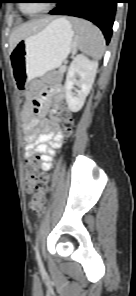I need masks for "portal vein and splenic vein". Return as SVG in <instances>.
<instances>
[{
    "mask_svg": "<svg viewBox=\"0 0 136 296\" xmlns=\"http://www.w3.org/2000/svg\"><path fill=\"white\" fill-rule=\"evenodd\" d=\"M65 68H66V66L64 65V66L61 67V70H64Z\"/></svg>",
    "mask_w": 136,
    "mask_h": 296,
    "instance_id": "portal-vein-and-splenic-vein-1",
    "label": "portal vein and splenic vein"
}]
</instances>
